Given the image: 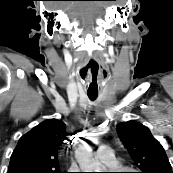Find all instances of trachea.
Here are the masks:
<instances>
[{"label":"trachea","mask_w":173,"mask_h":173,"mask_svg":"<svg viewBox=\"0 0 173 173\" xmlns=\"http://www.w3.org/2000/svg\"><path fill=\"white\" fill-rule=\"evenodd\" d=\"M88 97L90 98V100H95L97 98V94L88 93Z\"/></svg>","instance_id":"3493384b"}]
</instances>
